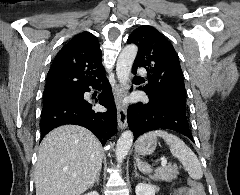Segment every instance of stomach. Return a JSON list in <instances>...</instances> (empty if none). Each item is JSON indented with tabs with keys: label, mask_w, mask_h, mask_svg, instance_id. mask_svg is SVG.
<instances>
[{
	"label": "stomach",
	"mask_w": 240,
	"mask_h": 195,
	"mask_svg": "<svg viewBox=\"0 0 240 195\" xmlns=\"http://www.w3.org/2000/svg\"><path fill=\"white\" fill-rule=\"evenodd\" d=\"M157 137H147V139H138L135 147L139 155H150L156 149Z\"/></svg>",
	"instance_id": "1"
}]
</instances>
